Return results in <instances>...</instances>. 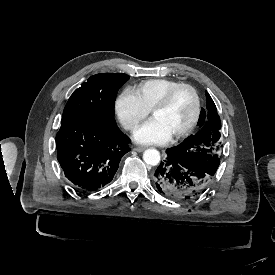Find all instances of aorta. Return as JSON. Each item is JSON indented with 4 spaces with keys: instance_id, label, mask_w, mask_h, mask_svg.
<instances>
[{
    "instance_id": "762f6f07",
    "label": "aorta",
    "mask_w": 275,
    "mask_h": 275,
    "mask_svg": "<svg viewBox=\"0 0 275 275\" xmlns=\"http://www.w3.org/2000/svg\"><path fill=\"white\" fill-rule=\"evenodd\" d=\"M143 160L150 166H156L160 163V153L156 149H148L143 154Z\"/></svg>"
}]
</instances>
